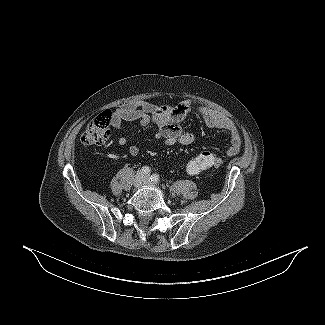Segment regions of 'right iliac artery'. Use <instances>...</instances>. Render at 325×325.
Returning <instances> with one entry per match:
<instances>
[{"label": "right iliac artery", "mask_w": 325, "mask_h": 325, "mask_svg": "<svg viewBox=\"0 0 325 325\" xmlns=\"http://www.w3.org/2000/svg\"><path fill=\"white\" fill-rule=\"evenodd\" d=\"M142 172L144 174H149L151 172V169L148 166L142 167Z\"/></svg>", "instance_id": "82829eb1"}]
</instances>
